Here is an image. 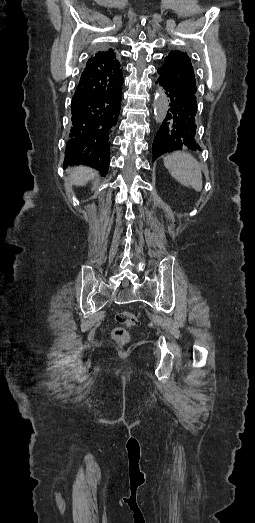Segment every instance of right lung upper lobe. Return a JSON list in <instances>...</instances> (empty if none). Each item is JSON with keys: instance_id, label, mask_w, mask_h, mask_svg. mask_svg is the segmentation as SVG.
<instances>
[{"instance_id": "obj_1", "label": "right lung upper lobe", "mask_w": 255, "mask_h": 523, "mask_svg": "<svg viewBox=\"0 0 255 523\" xmlns=\"http://www.w3.org/2000/svg\"><path fill=\"white\" fill-rule=\"evenodd\" d=\"M122 67L112 49L91 56L81 74L72 98V127L66 143L64 165H86L106 174L110 161V140L117 124L122 100ZM93 96L100 99V136L94 141V153H83V114L79 102ZM92 140V139H91Z\"/></svg>"}]
</instances>
